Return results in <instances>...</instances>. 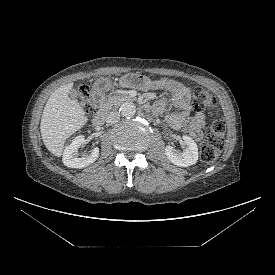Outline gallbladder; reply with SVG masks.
Returning <instances> with one entry per match:
<instances>
[{
  "mask_svg": "<svg viewBox=\"0 0 275 275\" xmlns=\"http://www.w3.org/2000/svg\"><path fill=\"white\" fill-rule=\"evenodd\" d=\"M69 94L71 97H76L78 94V91L76 89H72Z\"/></svg>",
  "mask_w": 275,
  "mask_h": 275,
  "instance_id": "obj_1",
  "label": "gallbladder"
}]
</instances>
